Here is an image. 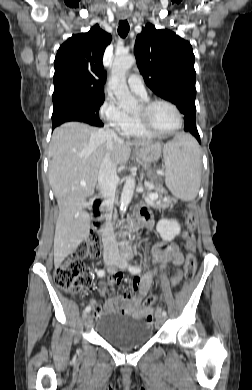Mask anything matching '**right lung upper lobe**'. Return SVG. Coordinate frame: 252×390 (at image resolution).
Wrapping results in <instances>:
<instances>
[{
    "mask_svg": "<svg viewBox=\"0 0 252 390\" xmlns=\"http://www.w3.org/2000/svg\"><path fill=\"white\" fill-rule=\"evenodd\" d=\"M111 35L93 26L73 35L57 51L54 61L53 101L68 97H104L106 81L102 58Z\"/></svg>",
    "mask_w": 252,
    "mask_h": 390,
    "instance_id": "right-lung-upper-lobe-1",
    "label": "right lung upper lobe"
}]
</instances>
